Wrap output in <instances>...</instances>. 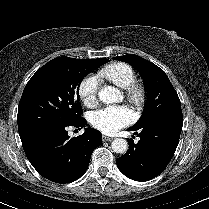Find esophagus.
<instances>
[{"mask_svg":"<svg viewBox=\"0 0 209 209\" xmlns=\"http://www.w3.org/2000/svg\"><path fill=\"white\" fill-rule=\"evenodd\" d=\"M113 138H111V137H108V136H106V135H102V141L103 142H107V141H111Z\"/></svg>","mask_w":209,"mask_h":209,"instance_id":"1","label":"esophagus"}]
</instances>
